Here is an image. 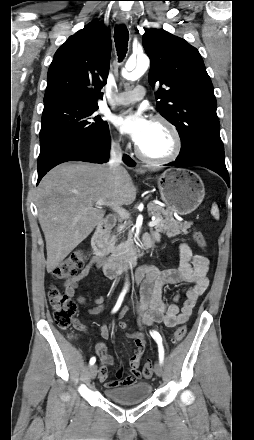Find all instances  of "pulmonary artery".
I'll list each match as a JSON object with an SVG mask.
<instances>
[{"mask_svg":"<svg viewBox=\"0 0 254 440\" xmlns=\"http://www.w3.org/2000/svg\"><path fill=\"white\" fill-rule=\"evenodd\" d=\"M145 94V88L139 85L133 90L119 93L112 99L111 103L113 105H127L143 99Z\"/></svg>","mask_w":254,"mask_h":440,"instance_id":"e3ab8cb5","label":"pulmonary artery"}]
</instances>
